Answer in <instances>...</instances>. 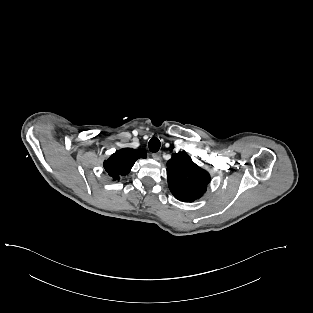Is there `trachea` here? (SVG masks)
Masks as SVG:
<instances>
[{"mask_svg": "<svg viewBox=\"0 0 313 313\" xmlns=\"http://www.w3.org/2000/svg\"><path fill=\"white\" fill-rule=\"evenodd\" d=\"M148 146L149 150L155 153L160 149L161 146L160 140L157 137H153L150 139Z\"/></svg>", "mask_w": 313, "mask_h": 313, "instance_id": "3493384b", "label": "trachea"}]
</instances>
